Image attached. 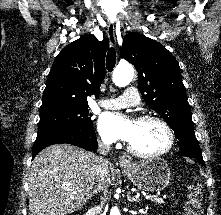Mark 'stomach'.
Listing matches in <instances>:
<instances>
[{
	"label": "stomach",
	"mask_w": 221,
	"mask_h": 215,
	"mask_svg": "<svg viewBox=\"0 0 221 215\" xmlns=\"http://www.w3.org/2000/svg\"><path fill=\"white\" fill-rule=\"evenodd\" d=\"M123 173L140 190L158 192L170 181V168L161 158L143 160L122 165Z\"/></svg>",
	"instance_id": "0dacf381"
}]
</instances>
